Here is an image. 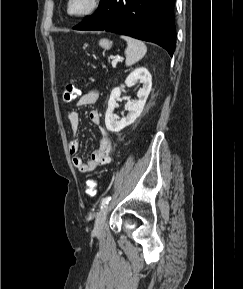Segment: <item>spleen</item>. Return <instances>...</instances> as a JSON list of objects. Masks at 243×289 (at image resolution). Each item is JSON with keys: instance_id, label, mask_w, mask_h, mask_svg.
<instances>
[{"instance_id": "1", "label": "spleen", "mask_w": 243, "mask_h": 289, "mask_svg": "<svg viewBox=\"0 0 243 289\" xmlns=\"http://www.w3.org/2000/svg\"><path fill=\"white\" fill-rule=\"evenodd\" d=\"M121 38L127 42V48L125 49V64L126 66H132L144 57L147 52V47L138 39L128 36H121Z\"/></svg>"}]
</instances>
